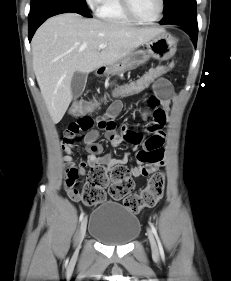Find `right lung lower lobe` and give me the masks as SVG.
Listing matches in <instances>:
<instances>
[{"label":"right lung lower lobe","instance_id":"right-lung-lower-lobe-1","mask_svg":"<svg viewBox=\"0 0 231 281\" xmlns=\"http://www.w3.org/2000/svg\"><path fill=\"white\" fill-rule=\"evenodd\" d=\"M66 12H75L85 17H92L84 0H32L31 12L28 16L29 41L46 19Z\"/></svg>","mask_w":231,"mask_h":281}]
</instances>
